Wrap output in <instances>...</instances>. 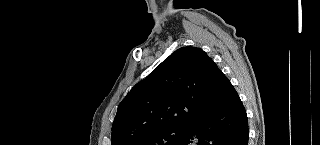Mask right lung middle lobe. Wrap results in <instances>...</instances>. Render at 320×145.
I'll return each mask as SVG.
<instances>
[{
    "mask_svg": "<svg viewBox=\"0 0 320 145\" xmlns=\"http://www.w3.org/2000/svg\"><path fill=\"white\" fill-rule=\"evenodd\" d=\"M183 134V127L161 129L140 138L131 145H175Z\"/></svg>",
    "mask_w": 320,
    "mask_h": 145,
    "instance_id": "1",
    "label": "right lung middle lobe"
}]
</instances>
